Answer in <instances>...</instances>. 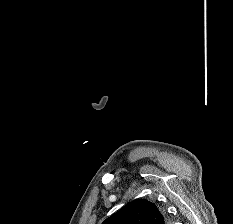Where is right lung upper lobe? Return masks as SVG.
<instances>
[{"label": "right lung upper lobe", "instance_id": "1", "mask_svg": "<svg viewBox=\"0 0 233 224\" xmlns=\"http://www.w3.org/2000/svg\"><path fill=\"white\" fill-rule=\"evenodd\" d=\"M165 214L151 201L137 199L122 207L102 224H166Z\"/></svg>", "mask_w": 233, "mask_h": 224}]
</instances>
